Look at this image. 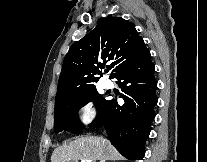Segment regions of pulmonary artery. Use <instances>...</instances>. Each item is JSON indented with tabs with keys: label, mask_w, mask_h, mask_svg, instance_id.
Wrapping results in <instances>:
<instances>
[{
	"label": "pulmonary artery",
	"mask_w": 207,
	"mask_h": 162,
	"mask_svg": "<svg viewBox=\"0 0 207 162\" xmlns=\"http://www.w3.org/2000/svg\"><path fill=\"white\" fill-rule=\"evenodd\" d=\"M104 86L106 89H112L113 88V83L111 81H106L104 83Z\"/></svg>",
	"instance_id": "pulmonary-artery-1"
}]
</instances>
